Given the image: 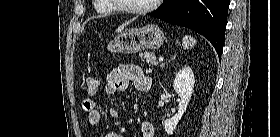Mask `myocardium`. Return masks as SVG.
I'll return each instance as SVG.
<instances>
[{
  "label": "myocardium",
  "instance_id": "1",
  "mask_svg": "<svg viewBox=\"0 0 280 137\" xmlns=\"http://www.w3.org/2000/svg\"><path fill=\"white\" fill-rule=\"evenodd\" d=\"M161 2V0H152V2L145 6V7H139V8H125L122 6H115L116 8H118V10L120 12L126 13V14H146L152 10H154L157 5Z\"/></svg>",
  "mask_w": 280,
  "mask_h": 137
}]
</instances>
